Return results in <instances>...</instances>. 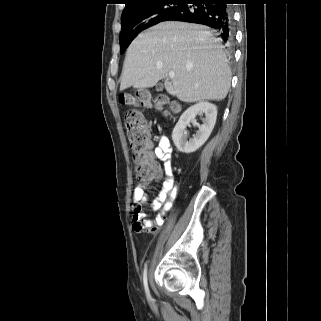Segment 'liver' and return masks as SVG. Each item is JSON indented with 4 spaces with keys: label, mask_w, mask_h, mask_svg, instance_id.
Instances as JSON below:
<instances>
[{
    "label": "liver",
    "mask_w": 321,
    "mask_h": 321,
    "mask_svg": "<svg viewBox=\"0 0 321 321\" xmlns=\"http://www.w3.org/2000/svg\"><path fill=\"white\" fill-rule=\"evenodd\" d=\"M162 79L166 91L183 102L224 99L231 72L219 39L203 26L177 21L138 35L126 53L120 90L151 88Z\"/></svg>",
    "instance_id": "obj_1"
}]
</instances>
